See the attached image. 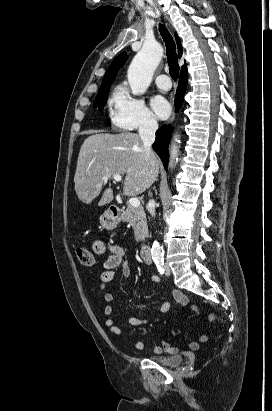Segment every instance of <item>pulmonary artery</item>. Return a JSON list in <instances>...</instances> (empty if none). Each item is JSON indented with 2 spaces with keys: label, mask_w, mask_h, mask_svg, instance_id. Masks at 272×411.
Returning a JSON list of instances; mask_svg holds the SVG:
<instances>
[{
  "label": "pulmonary artery",
  "mask_w": 272,
  "mask_h": 411,
  "mask_svg": "<svg viewBox=\"0 0 272 411\" xmlns=\"http://www.w3.org/2000/svg\"><path fill=\"white\" fill-rule=\"evenodd\" d=\"M157 87L163 91H167L171 88L169 77L166 74H161L155 79Z\"/></svg>",
  "instance_id": "1"
}]
</instances>
